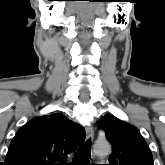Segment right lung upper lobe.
<instances>
[{
  "label": "right lung upper lobe",
  "instance_id": "cb5924a9",
  "mask_svg": "<svg viewBox=\"0 0 165 165\" xmlns=\"http://www.w3.org/2000/svg\"><path fill=\"white\" fill-rule=\"evenodd\" d=\"M84 139L85 130L62 114L37 117L17 131L3 165H60Z\"/></svg>",
  "mask_w": 165,
  "mask_h": 165
}]
</instances>
